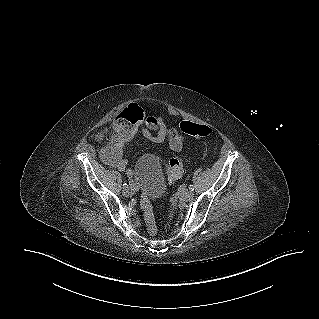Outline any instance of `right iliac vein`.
I'll use <instances>...</instances> for the list:
<instances>
[{
    "mask_svg": "<svg viewBox=\"0 0 319 319\" xmlns=\"http://www.w3.org/2000/svg\"><path fill=\"white\" fill-rule=\"evenodd\" d=\"M130 194H131V192H130V189L128 187L123 189V195L125 197L130 196Z\"/></svg>",
    "mask_w": 319,
    "mask_h": 319,
    "instance_id": "obj_1",
    "label": "right iliac vein"
}]
</instances>
